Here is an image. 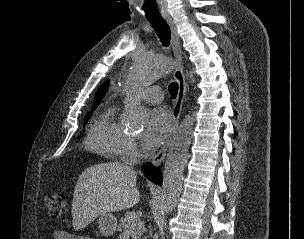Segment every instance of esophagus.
Here are the masks:
<instances>
[{
    "label": "esophagus",
    "mask_w": 304,
    "mask_h": 239,
    "mask_svg": "<svg viewBox=\"0 0 304 239\" xmlns=\"http://www.w3.org/2000/svg\"><path fill=\"white\" fill-rule=\"evenodd\" d=\"M167 24L170 27L171 30V35H172V45H173V51L174 55L177 61V68L174 72V79L178 83V93H177V98L173 106V124L170 130V133L164 143V145L161 147V149L151 158V163L154 166H159L168 151V148L171 144V141L173 139V136L178 128L179 121H180V115L183 107V102L185 99L186 95V82H185V77H184V71H183V64H184V56H183V50L180 44L179 36L176 30V27L171 20V18L166 19Z\"/></svg>",
    "instance_id": "1"
}]
</instances>
